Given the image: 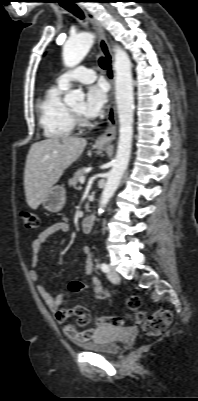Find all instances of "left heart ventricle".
<instances>
[{
  "label": "left heart ventricle",
  "mask_w": 198,
  "mask_h": 401,
  "mask_svg": "<svg viewBox=\"0 0 198 401\" xmlns=\"http://www.w3.org/2000/svg\"><path fill=\"white\" fill-rule=\"evenodd\" d=\"M73 110H75L78 113L84 114L83 109H84V104L81 102L75 106L72 107Z\"/></svg>",
  "instance_id": "left-heart-ventricle-1"
}]
</instances>
